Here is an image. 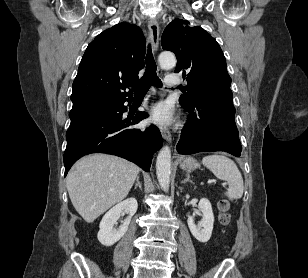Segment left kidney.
Wrapping results in <instances>:
<instances>
[{"label": "left kidney", "instance_id": "5707ae66", "mask_svg": "<svg viewBox=\"0 0 308 278\" xmlns=\"http://www.w3.org/2000/svg\"><path fill=\"white\" fill-rule=\"evenodd\" d=\"M203 214L202 220L196 225L192 216L188 217L187 223L192 235L202 243L209 241L214 224V215L211 203L208 199L202 198L198 204Z\"/></svg>", "mask_w": 308, "mask_h": 278}]
</instances>
